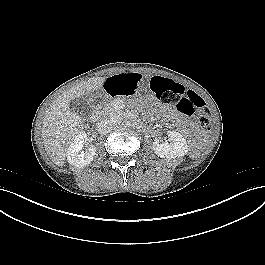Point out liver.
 <instances>
[{"label": "liver", "instance_id": "obj_1", "mask_svg": "<svg viewBox=\"0 0 265 265\" xmlns=\"http://www.w3.org/2000/svg\"><path fill=\"white\" fill-rule=\"evenodd\" d=\"M105 81L106 77H95L71 87L47 111L43 120L42 137L46 152L54 164H65L69 145L84 126V119L70 109V102L99 91Z\"/></svg>", "mask_w": 265, "mask_h": 265}]
</instances>
